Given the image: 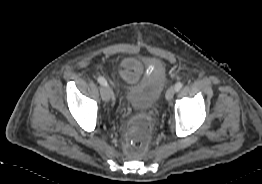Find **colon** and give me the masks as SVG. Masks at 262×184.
I'll use <instances>...</instances> for the list:
<instances>
[{"label": "colon", "instance_id": "obj_1", "mask_svg": "<svg viewBox=\"0 0 262 184\" xmlns=\"http://www.w3.org/2000/svg\"><path fill=\"white\" fill-rule=\"evenodd\" d=\"M150 134V121L147 117L140 116L134 119L130 127V141L128 152L142 154L148 145Z\"/></svg>", "mask_w": 262, "mask_h": 184}]
</instances>
